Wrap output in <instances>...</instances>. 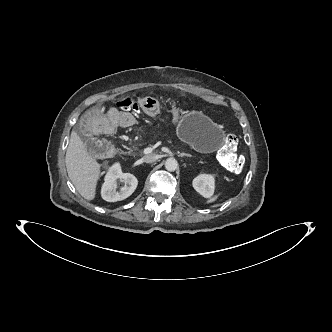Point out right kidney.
<instances>
[{"label": "right kidney", "mask_w": 332, "mask_h": 332, "mask_svg": "<svg viewBox=\"0 0 332 332\" xmlns=\"http://www.w3.org/2000/svg\"><path fill=\"white\" fill-rule=\"evenodd\" d=\"M124 182L125 185L116 191L117 180ZM101 189V196L107 202H116L128 198L138 185L137 178L130 173H123L120 163H114L108 170Z\"/></svg>", "instance_id": "right-kidney-1"}]
</instances>
